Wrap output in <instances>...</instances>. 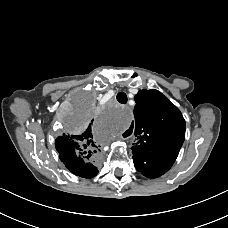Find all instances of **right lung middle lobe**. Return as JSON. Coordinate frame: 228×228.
<instances>
[{
    "label": "right lung middle lobe",
    "mask_w": 228,
    "mask_h": 228,
    "mask_svg": "<svg viewBox=\"0 0 228 228\" xmlns=\"http://www.w3.org/2000/svg\"><path fill=\"white\" fill-rule=\"evenodd\" d=\"M93 111L94 108L92 101L87 97H80L77 103L76 111L71 116V120L77 129L85 126L88 123Z\"/></svg>",
    "instance_id": "right-lung-middle-lobe-1"
}]
</instances>
